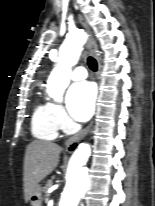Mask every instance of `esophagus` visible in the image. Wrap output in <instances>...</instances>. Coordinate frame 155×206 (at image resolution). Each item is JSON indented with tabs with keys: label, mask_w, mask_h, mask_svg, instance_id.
<instances>
[{
	"label": "esophagus",
	"mask_w": 155,
	"mask_h": 206,
	"mask_svg": "<svg viewBox=\"0 0 155 206\" xmlns=\"http://www.w3.org/2000/svg\"><path fill=\"white\" fill-rule=\"evenodd\" d=\"M78 20H79V23L81 24V26L89 33V27H88L86 20L81 15H78ZM87 46L90 49V51L92 52V54L95 56V58L97 59L98 71L100 72L102 66H101L100 59L98 57V47H97L96 41L93 39V37L91 35H89V37H88ZM92 126H93V123H90L87 127H85L76 136L69 138L65 142L66 149L68 151H74L76 149L79 141L82 140L89 133Z\"/></svg>",
	"instance_id": "esophagus-1"
}]
</instances>
